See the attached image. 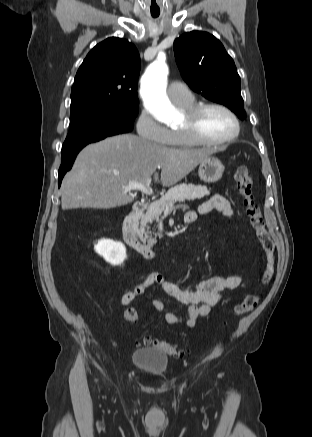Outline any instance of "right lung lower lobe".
Listing matches in <instances>:
<instances>
[{
  "mask_svg": "<svg viewBox=\"0 0 312 437\" xmlns=\"http://www.w3.org/2000/svg\"><path fill=\"white\" fill-rule=\"evenodd\" d=\"M84 147V146H83ZM75 149L70 152L62 153L61 165L58 171V186L61 185V181L65 173L71 169L73 162L78 154V152L83 148Z\"/></svg>",
  "mask_w": 312,
  "mask_h": 437,
  "instance_id": "obj_1",
  "label": "right lung lower lobe"
}]
</instances>
